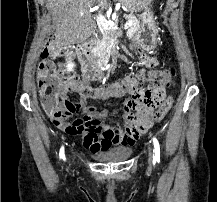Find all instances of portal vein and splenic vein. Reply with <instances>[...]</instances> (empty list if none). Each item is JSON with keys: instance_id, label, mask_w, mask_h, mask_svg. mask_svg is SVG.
I'll list each match as a JSON object with an SVG mask.
<instances>
[{"instance_id": "portal-vein-and-splenic-vein-1", "label": "portal vein and splenic vein", "mask_w": 217, "mask_h": 202, "mask_svg": "<svg viewBox=\"0 0 217 202\" xmlns=\"http://www.w3.org/2000/svg\"><path fill=\"white\" fill-rule=\"evenodd\" d=\"M134 22H132V20H128L127 24H125V26H133ZM109 26H115L114 22H111V24H109Z\"/></svg>"}]
</instances>
